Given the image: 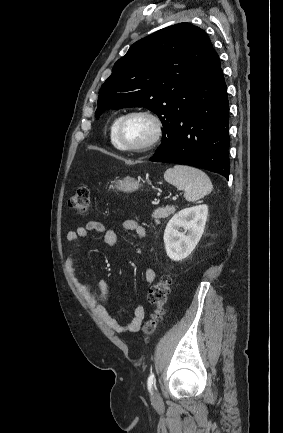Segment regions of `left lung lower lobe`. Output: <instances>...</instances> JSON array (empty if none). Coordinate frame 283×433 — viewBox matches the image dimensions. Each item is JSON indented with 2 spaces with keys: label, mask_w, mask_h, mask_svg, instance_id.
<instances>
[{
  "label": "left lung lower lobe",
  "mask_w": 283,
  "mask_h": 433,
  "mask_svg": "<svg viewBox=\"0 0 283 433\" xmlns=\"http://www.w3.org/2000/svg\"><path fill=\"white\" fill-rule=\"evenodd\" d=\"M192 98V107L164 126L162 144L150 160L204 168L228 179L227 87L214 50L194 80Z\"/></svg>",
  "instance_id": "0a47b994"
}]
</instances>
